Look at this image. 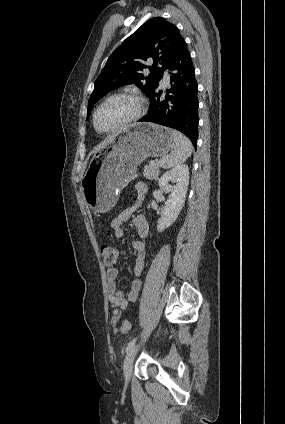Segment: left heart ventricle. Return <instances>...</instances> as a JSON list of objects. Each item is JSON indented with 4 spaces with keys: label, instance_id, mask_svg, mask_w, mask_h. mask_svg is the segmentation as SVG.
<instances>
[{
    "label": "left heart ventricle",
    "instance_id": "b2bd125f",
    "mask_svg": "<svg viewBox=\"0 0 285 424\" xmlns=\"http://www.w3.org/2000/svg\"><path fill=\"white\" fill-rule=\"evenodd\" d=\"M137 109L136 102L128 97H119L103 106L96 117V127L103 131L117 126L131 117Z\"/></svg>",
    "mask_w": 285,
    "mask_h": 424
}]
</instances>
